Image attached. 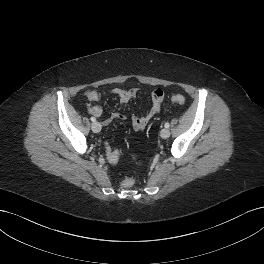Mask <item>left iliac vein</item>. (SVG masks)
Listing matches in <instances>:
<instances>
[{
    "label": "left iliac vein",
    "mask_w": 264,
    "mask_h": 264,
    "mask_svg": "<svg viewBox=\"0 0 264 264\" xmlns=\"http://www.w3.org/2000/svg\"><path fill=\"white\" fill-rule=\"evenodd\" d=\"M162 138L166 139L170 136V131L167 128H163L160 132Z\"/></svg>",
    "instance_id": "obj_1"
}]
</instances>
